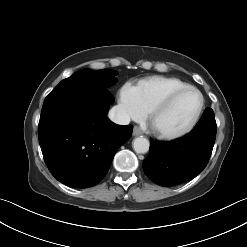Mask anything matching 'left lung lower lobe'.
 <instances>
[{
  "label": "left lung lower lobe",
  "instance_id": "0a47b994",
  "mask_svg": "<svg viewBox=\"0 0 247 247\" xmlns=\"http://www.w3.org/2000/svg\"><path fill=\"white\" fill-rule=\"evenodd\" d=\"M214 112L207 108L191 133L172 142L150 140L143 162L145 174L155 183L171 187L195 178L206 167L216 137Z\"/></svg>",
  "mask_w": 247,
  "mask_h": 247
}]
</instances>
